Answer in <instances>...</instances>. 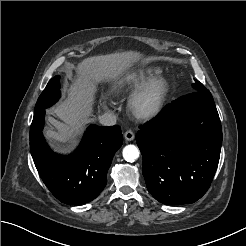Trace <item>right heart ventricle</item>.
Wrapping results in <instances>:
<instances>
[{
  "mask_svg": "<svg viewBox=\"0 0 246 246\" xmlns=\"http://www.w3.org/2000/svg\"><path fill=\"white\" fill-rule=\"evenodd\" d=\"M156 74V70L132 72L119 79L112 87V92L120 94L144 82L147 78Z\"/></svg>",
  "mask_w": 246,
  "mask_h": 246,
  "instance_id": "1",
  "label": "right heart ventricle"
}]
</instances>
